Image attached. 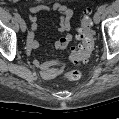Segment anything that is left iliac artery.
Listing matches in <instances>:
<instances>
[{
	"mask_svg": "<svg viewBox=\"0 0 119 119\" xmlns=\"http://www.w3.org/2000/svg\"><path fill=\"white\" fill-rule=\"evenodd\" d=\"M106 9V6L105 5H101L98 10L101 11V12H104Z\"/></svg>",
	"mask_w": 119,
	"mask_h": 119,
	"instance_id": "left-iliac-artery-1",
	"label": "left iliac artery"
}]
</instances>
